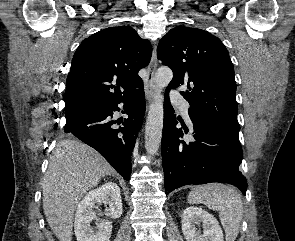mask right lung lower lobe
I'll list each match as a JSON object with an SVG mask.
<instances>
[{
  "instance_id": "obj_1",
  "label": "right lung lower lobe",
  "mask_w": 295,
  "mask_h": 241,
  "mask_svg": "<svg viewBox=\"0 0 295 241\" xmlns=\"http://www.w3.org/2000/svg\"><path fill=\"white\" fill-rule=\"evenodd\" d=\"M124 103L128 118L113 120L118 104ZM145 113L143 85L130 96L94 105L66 118L65 133H70L97 150L125 179L131 174V151L134 148ZM122 124L123 127H117Z\"/></svg>"
}]
</instances>
